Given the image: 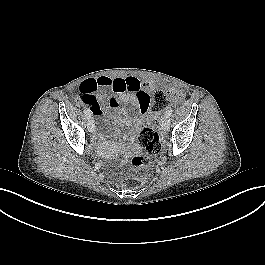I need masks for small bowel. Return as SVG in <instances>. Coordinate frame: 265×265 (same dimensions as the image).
Returning <instances> with one entry per match:
<instances>
[{"instance_id":"c3829d8e","label":"small bowel","mask_w":265,"mask_h":265,"mask_svg":"<svg viewBox=\"0 0 265 265\" xmlns=\"http://www.w3.org/2000/svg\"><path fill=\"white\" fill-rule=\"evenodd\" d=\"M155 84L151 81L142 83L137 77L110 78L101 76L97 79L85 81L73 95L76 103L87 106L94 116L102 115V104L108 103L113 108L119 107L117 120L121 123H137L142 121V116L150 109L151 95L148 91L153 90ZM113 91L116 96H110L107 91ZM122 103H131L139 117H129L127 110L120 107ZM98 143L103 142V135L95 134Z\"/></svg>"}]
</instances>
